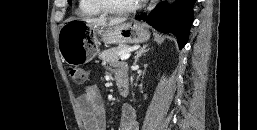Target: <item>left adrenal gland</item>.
Listing matches in <instances>:
<instances>
[{"mask_svg": "<svg viewBox=\"0 0 257 130\" xmlns=\"http://www.w3.org/2000/svg\"><path fill=\"white\" fill-rule=\"evenodd\" d=\"M148 45H143L139 50H137L135 52V57H134V64L137 63V61L139 60V58L145 53L147 52L149 49H146Z\"/></svg>", "mask_w": 257, "mask_h": 130, "instance_id": "a2214340", "label": "left adrenal gland"}]
</instances>
